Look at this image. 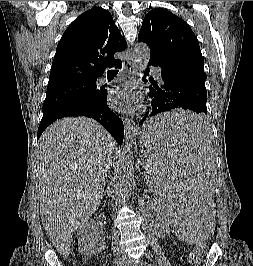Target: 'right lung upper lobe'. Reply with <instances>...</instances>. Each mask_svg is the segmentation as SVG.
<instances>
[{
  "instance_id": "right-lung-upper-lobe-1",
  "label": "right lung upper lobe",
  "mask_w": 253,
  "mask_h": 266,
  "mask_svg": "<svg viewBox=\"0 0 253 266\" xmlns=\"http://www.w3.org/2000/svg\"><path fill=\"white\" fill-rule=\"evenodd\" d=\"M127 44L109 11L96 7L81 14L64 32L56 49L48 86L97 80Z\"/></svg>"
}]
</instances>
